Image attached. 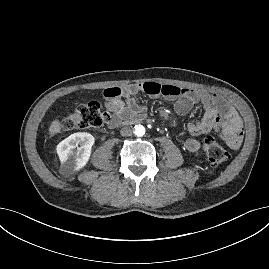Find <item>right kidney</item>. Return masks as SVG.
<instances>
[{"label":"right kidney","instance_id":"obj_1","mask_svg":"<svg viewBox=\"0 0 269 269\" xmlns=\"http://www.w3.org/2000/svg\"><path fill=\"white\" fill-rule=\"evenodd\" d=\"M95 138L85 132L71 134L57 146L58 156L64 167L80 170L89 161Z\"/></svg>","mask_w":269,"mask_h":269}]
</instances>
